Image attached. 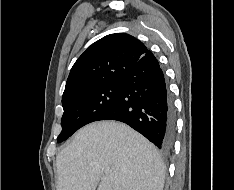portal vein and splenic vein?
I'll list each match as a JSON object with an SVG mask.
<instances>
[{"mask_svg":"<svg viewBox=\"0 0 234 190\" xmlns=\"http://www.w3.org/2000/svg\"><path fill=\"white\" fill-rule=\"evenodd\" d=\"M108 172H109V171H108V170H106V171H105V174H107Z\"/></svg>","mask_w":234,"mask_h":190,"instance_id":"1","label":"portal vein and splenic vein"}]
</instances>
